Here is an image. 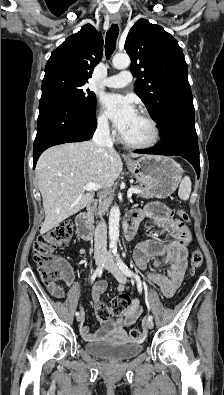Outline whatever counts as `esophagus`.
<instances>
[{
    "label": "esophagus",
    "instance_id": "obj_1",
    "mask_svg": "<svg viewBox=\"0 0 224 395\" xmlns=\"http://www.w3.org/2000/svg\"><path fill=\"white\" fill-rule=\"evenodd\" d=\"M113 23H114V24H119V23H120V20H119V19H113ZM123 156H124L125 158H127V156H126L125 154H123Z\"/></svg>",
    "mask_w": 224,
    "mask_h": 395
}]
</instances>
